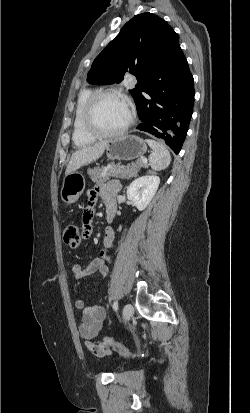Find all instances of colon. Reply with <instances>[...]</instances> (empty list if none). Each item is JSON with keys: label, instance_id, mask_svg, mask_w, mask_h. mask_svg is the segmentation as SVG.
Here are the masks:
<instances>
[{"label": "colon", "instance_id": "obj_1", "mask_svg": "<svg viewBox=\"0 0 250 413\" xmlns=\"http://www.w3.org/2000/svg\"><path fill=\"white\" fill-rule=\"evenodd\" d=\"M149 175L151 177H156L158 175V170L156 168H151L149 170ZM80 232L81 230L79 226L73 222L67 224L66 227L64 228V231H63L64 241L70 248L79 247L81 243V239H82ZM96 344L100 347H116L121 351H125L127 349L125 342L117 338H113V337L103 338Z\"/></svg>", "mask_w": 250, "mask_h": 413}]
</instances>
